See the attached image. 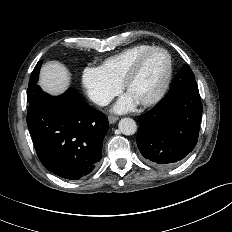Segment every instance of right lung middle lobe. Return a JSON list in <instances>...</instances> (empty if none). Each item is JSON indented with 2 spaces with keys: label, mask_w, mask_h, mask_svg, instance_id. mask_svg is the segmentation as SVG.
Here are the masks:
<instances>
[{
  "label": "right lung middle lobe",
  "mask_w": 232,
  "mask_h": 232,
  "mask_svg": "<svg viewBox=\"0 0 232 232\" xmlns=\"http://www.w3.org/2000/svg\"><path fill=\"white\" fill-rule=\"evenodd\" d=\"M41 65H42V60L37 63V65L35 66L33 70V73L30 76L28 90H27V95H28L27 101L28 102L30 101L34 92L40 89V87L37 85V82L39 78V72H40Z\"/></svg>",
  "instance_id": "dd1d6c3e"
}]
</instances>
